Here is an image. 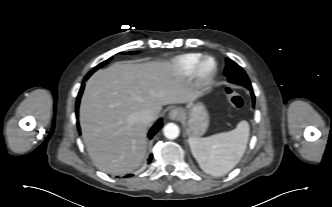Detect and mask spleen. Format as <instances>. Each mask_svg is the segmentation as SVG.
Returning <instances> with one entry per match:
<instances>
[{"mask_svg":"<svg viewBox=\"0 0 332 207\" xmlns=\"http://www.w3.org/2000/svg\"><path fill=\"white\" fill-rule=\"evenodd\" d=\"M249 131L248 122L241 121L232 131L205 138L190 137L188 142L200 168L212 176H222L241 160L247 147Z\"/></svg>","mask_w":332,"mask_h":207,"instance_id":"obj_1","label":"spleen"}]
</instances>
